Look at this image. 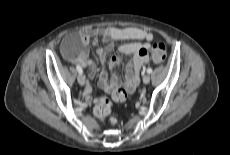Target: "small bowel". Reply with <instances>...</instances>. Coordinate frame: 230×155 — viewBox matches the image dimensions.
<instances>
[{
  "mask_svg": "<svg viewBox=\"0 0 230 155\" xmlns=\"http://www.w3.org/2000/svg\"><path fill=\"white\" fill-rule=\"evenodd\" d=\"M75 39L81 41V48L76 50L72 47ZM99 39L105 44L99 47ZM153 35L145 30L135 27H108L102 29L82 30L78 33L67 36L62 42L61 49L64 57L71 63L87 68L88 73L93 76L96 74L98 67L95 62L89 59L87 46L92 44L96 47L97 59L103 63L106 55L113 49L116 41H145L126 42L119 46V52L131 55L132 58L126 66L123 85L115 75L108 77L107 73L102 71L98 78V85L107 92H111L116 97V102H124L128 95L131 94L138 82L139 74L142 67L149 63V42L152 41ZM120 63V58L112 56L108 63V68L112 69ZM84 97L87 102H92V87L86 85Z\"/></svg>",
  "mask_w": 230,
  "mask_h": 155,
  "instance_id": "1",
  "label": "small bowel"
}]
</instances>
